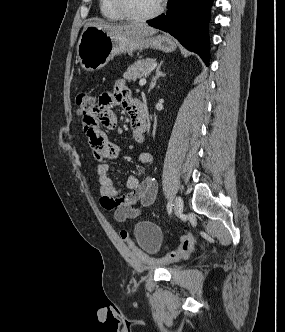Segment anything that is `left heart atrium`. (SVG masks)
Masks as SVG:
<instances>
[{"mask_svg": "<svg viewBox=\"0 0 285 332\" xmlns=\"http://www.w3.org/2000/svg\"><path fill=\"white\" fill-rule=\"evenodd\" d=\"M159 2H162L163 0H158Z\"/></svg>", "mask_w": 285, "mask_h": 332, "instance_id": "1", "label": "left heart atrium"}]
</instances>
